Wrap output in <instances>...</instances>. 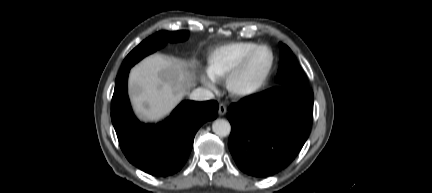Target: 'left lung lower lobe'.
Wrapping results in <instances>:
<instances>
[{
  "label": "left lung lower lobe",
  "instance_id": "obj_1",
  "mask_svg": "<svg viewBox=\"0 0 432 193\" xmlns=\"http://www.w3.org/2000/svg\"><path fill=\"white\" fill-rule=\"evenodd\" d=\"M229 149L245 173L264 177L289 165L308 138L313 119L309 87L278 86L233 103Z\"/></svg>",
  "mask_w": 432,
  "mask_h": 193
}]
</instances>
